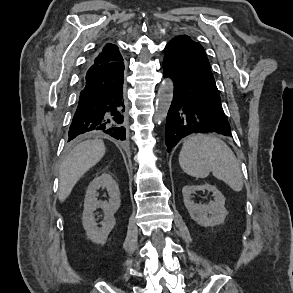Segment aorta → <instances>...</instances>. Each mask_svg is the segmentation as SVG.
Listing matches in <instances>:
<instances>
[{
	"label": "aorta",
	"mask_w": 293,
	"mask_h": 293,
	"mask_svg": "<svg viewBox=\"0 0 293 293\" xmlns=\"http://www.w3.org/2000/svg\"><path fill=\"white\" fill-rule=\"evenodd\" d=\"M174 94V84L171 80H166L160 86L155 106V122L163 121L169 111Z\"/></svg>",
	"instance_id": "1"
}]
</instances>
